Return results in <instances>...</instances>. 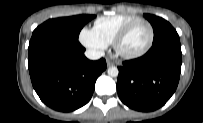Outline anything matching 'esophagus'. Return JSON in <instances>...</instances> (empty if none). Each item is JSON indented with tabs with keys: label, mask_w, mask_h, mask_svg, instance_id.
Returning <instances> with one entry per match:
<instances>
[{
	"label": "esophagus",
	"mask_w": 203,
	"mask_h": 123,
	"mask_svg": "<svg viewBox=\"0 0 203 123\" xmlns=\"http://www.w3.org/2000/svg\"><path fill=\"white\" fill-rule=\"evenodd\" d=\"M106 63H107V66H112V65H114V62H112V61L109 60V59H107Z\"/></svg>",
	"instance_id": "esophagus-1"
}]
</instances>
